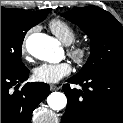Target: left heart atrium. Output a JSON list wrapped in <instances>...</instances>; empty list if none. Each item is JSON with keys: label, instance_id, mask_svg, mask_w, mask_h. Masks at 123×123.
Masks as SVG:
<instances>
[{"label": "left heart atrium", "instance_id": "39dd6f15", "mask_svg": "<svg viewBox=\"0 0 123 123\" xmlns=\"http://www.w3.org/2000/svg\"><path fill=\"white\" fill-rule=\"evenodd\" d=\"M71 71L72 67L68 62L42 63L34 69L33 76L36 81L52 84L59 82Z\"/></svg>", "mask_w": 123, "mask_h": 123}]
</instances>
